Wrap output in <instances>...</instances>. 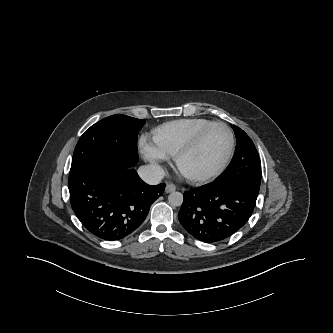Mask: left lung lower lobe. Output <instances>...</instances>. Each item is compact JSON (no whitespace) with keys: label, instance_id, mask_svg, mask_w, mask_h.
<instances>
[{"label":"left lung lower lobe","instance_id":"obj_1","mask_svg":"<svg viewBox=\"0 0 333 333\" xmlns=\"http://www.w3.org/2000/svg\"><path fill=\"white\" fill-rule=\"evenodd\" d=\"M178 214L196 239L215 243L237 232L250 218L258 194L236 184L209 183L183 194Z\"/></svg>","mask_w":333,"mask_h":333}]
</instances>
